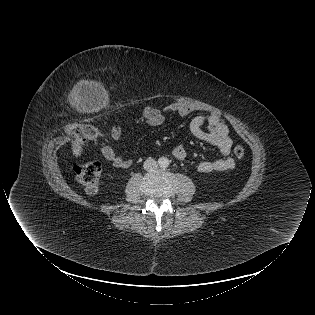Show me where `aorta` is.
Returning a JSON list of instances; mask_svg holds the SVG:
<instances>
[{"label":"aorta","mask_w":315,"mask_h":315,"mask_svg":"<svg viewBox=\"0 0 315 315\" xmlns=\"http://www.w3.org/2000/svg\"><path fill=\"white\" fill-rule=\"evenodd\" d=\"M159 166L162 168H167L169 166V159L165 157H161L159 159Z\"/></svg>","instance_id":"1"}]
</instances>
